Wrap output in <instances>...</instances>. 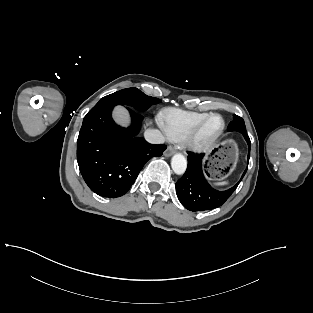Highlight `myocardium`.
<instances>
[{"label": "myocardium", "mask_w": 313, "mask_h": 313, "mask_svg": "<svg viewBox=\"0 0 313 313\" xmlns=\"http://www.w3.org/2000/svg\"><path fill=\"white\" fill-rule=\"evenodd\" d=\"M213 117H218L221 120V127L219 131L210 139L206 141L200 140V133L205 126V124ZM225 120L220 114L217 113H211L207 115L203 120H201L183 139L185 146L188 150L194 153H204L209 151L211 148L214 147V145L217 143V141L220 139L222 134L225 131Z\"/></svg>", "instance_id": "obj_1"}]
</instances>
